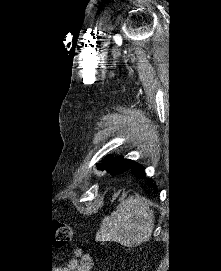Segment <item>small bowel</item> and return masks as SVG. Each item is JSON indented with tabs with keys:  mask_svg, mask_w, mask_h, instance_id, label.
I'll return each instance as SVG.
<instances>
[{
	"mask_svg": "<svg viewBox=\"0 0 221 271\" xmlns=\"http://www.w3.org/2000/svg\"><path fill=\"white\" fill-rule=\"evenodd\" d=\"M77 256H80V260L72 259L68 265V271H91L93 267V260L88 255H82L79 250L76 252Z\"/></svg>",
	"mask_w": 221,
	"mask_h": 271,
	"instance_id": "small-bowel-1",
	"label": "small bowel"
}]
</instances>
